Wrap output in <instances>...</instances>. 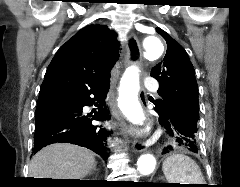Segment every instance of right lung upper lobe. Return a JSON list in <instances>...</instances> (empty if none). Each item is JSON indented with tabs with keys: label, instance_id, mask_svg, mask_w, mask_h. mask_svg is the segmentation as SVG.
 Returning <instances> with one entry per match:
<instances>
[{
	"label": "right lung upper lobe",
	"instance_id": "cb5924a9",
	"mask_svg": "<svg viewBox=\"0 0 240 187\" xmlns=\"http://www.w3.org/2000/svg\"><path fill=\"white\" fill-rule=\"evenodd\" d=\"M117 35L104 25H88L63 44L49 64L38 104L72 98L110 81L118 58Z\"/></svg>",
	"mask_w": 240,
	"mask_h": 187
}]
</instances>
